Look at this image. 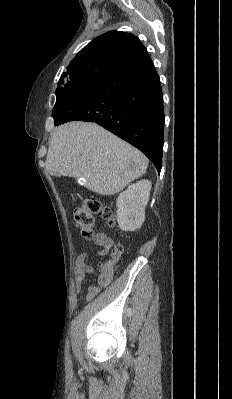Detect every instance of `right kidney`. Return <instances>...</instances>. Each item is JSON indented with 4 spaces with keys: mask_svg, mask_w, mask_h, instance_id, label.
Returning <instances> with one entry per match:
<instances>
[{
    "mask_svg": "<svg viewBox=\"0 0 232 399\" xmlns=\"http://www.w3.org/2000/svg\"><path fill=\"white\" fill-rule=\"evenodd\" d=\"M152 188L149 180H140L128 186L117 198V221L123 231H135L145 219V207Z\"/></svg>",
    "mask_w": 232,
    "mask_h": 399,
    "instance_id": "ca27d5eb",
    "label": "right kidney"
}]
</instances>
